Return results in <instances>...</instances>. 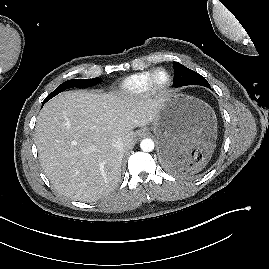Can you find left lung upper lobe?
Instances as JSON below:
<instances>
[{
	"mask_svg": "<svg viewBox=\"0 0 269 269\" xmlns=\"http://www.w3.org/2000/svg\"><path fill=\"white\" fill-rule=\"evenodd\" d=\"M173 66L174 87H181L186 85H201L211 89L206 79L197 72L183 66L178 62H173Z\"/></svg>",
	"mask_w": 269,
	"mask_h": 269,
	"instance_id": "left-lung-upper-lobe-1",
	"label": "left lung upper lobe"
}]
</instances>
